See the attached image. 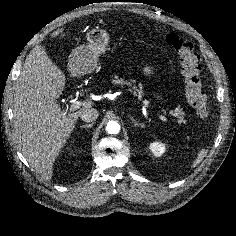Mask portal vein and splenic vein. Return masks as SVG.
Segmentation results:
<instances>
[{"mask_svg": "<svg viewBox=\"0 0 236 236\" xmlns=\"http://www.w3.org/2000/svg\"><path fill=\"white\" fill-rule=\"evenodd\" d=\"M82 105H83V101L74 100L72 102V104L70 105V109L69 110L70 111H75V110L79 109ZM157 116L163 122H166V123L168 122V119L164 115L158 114Z\"/></svg>", "mask_w": 236, "mask_h": 236, "instance_id": "portal-vein-and-splenic-vein-1", "label": "portal vein and splenic vein"}]
</instances>
